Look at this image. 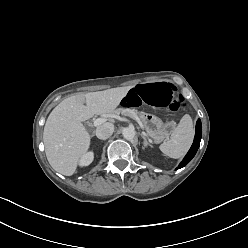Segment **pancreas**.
Segmentation results:
<instances>
[{"label":"pancreas","instance_id":"obj_1","mask_svg":"<svg viewBox=\"0 0 248 248\" xmlns=\"http://www.w3.org/2000/svg\"><path fill=\"white\" fill-rule=\"evenodd\" d=\"M114 113L129 116L133 119H138V117H139L138 112L136 110L117 109L116 111H114Z\"/></svg>","mask_w":248,"mask_h":248}]
</instances>
